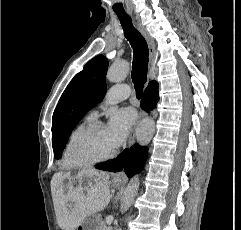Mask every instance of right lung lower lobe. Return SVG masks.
<instances>
[{"mask_svg": "<svg viewBox=\"0 0 241 230\" xmlns=\"http://www.w3.org/2000/svg\"><path fill=\"white\" fill-rule=\"evenodd\" d=\"M158 100V83L156 81H151L145 89L143 98L140 102L141 108L145 111L153 110Z\"/></svg>", "mask_w": 241, "mask_h": 230, "instance_id": "98d812e1", "label": "right lung lower lobe"}]
</instances>
